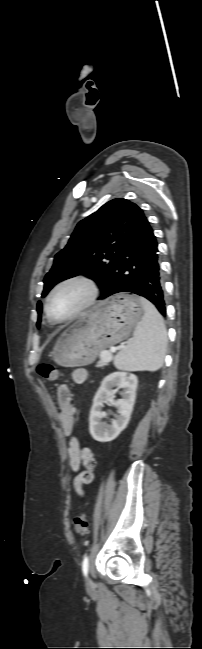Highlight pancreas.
<instances>
[{
  "label": "pancreas",
  "instance_id": "1",
  "mask_svg": "<svg viewBox=\"0 0 202 649\" xmlns=\"http://www.w3.org/2000/svg\"><path fill=\"white\" fill-rule=\"evenodd\" d=\"M102 352H107V353H110V354H111V352H110V351H107V350H103ZM102 352H101V353H102ZM107 364H108V362H104V361L100 360V361L97 363L96 367H104V366H106Z\"/></svg>",
  "mask_w": 202,
  "mask_h": 649
}]
</instances>
